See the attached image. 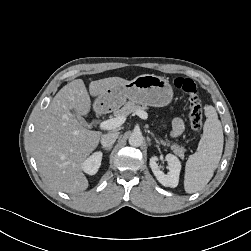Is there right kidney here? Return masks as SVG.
<instances>
[{
    "instance_id": "obj_1",
    "label": "right kidney",
    "mask_w": 251,
    "mask_h": 251,
    "mask_svg": "<svg viewBox=\"0 0 251 251\" xmlns=\"http://www.w3.org/2000/svg\"><path fill=\"white\" fill-rule=\"evenodd\" d=\"M102 161V153L95 152L90 157H88L82 164V169L85 173L89 175H94L97 173Z\"/></svg>"
}]
</instances>
